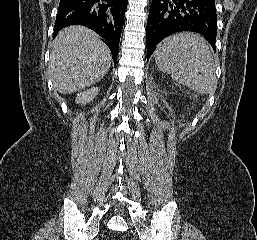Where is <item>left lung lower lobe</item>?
Masks as SVG:
<instances>
[{
	"mask_svg": "<svg viewBox=\"0 0 257 240\" xmlns=\"http://www.w3.org/2000/svg\"><path fill=\"white\" fill-rule=\"evenodd\" d=\"M184 31L203 35L215 50V0H152L147 21V61L160 41Z\"/></svg>",
	"mask_w": 257,
	"mask_h": 240,
	"instance_id": "1",
	"label": "left lung lower lobe"
}]
</instances>
